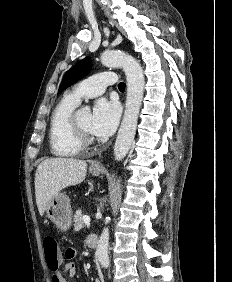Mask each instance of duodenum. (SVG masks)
Segmentation results:
<instances>
[{
  "label": "duodenum",
  "instance_id": "duodenum-1",
  "mask_svg": "<svg viewBox=\"0 0 232 282\" xmlns=\"http://www.w3.org/2000/svg\"><path fill=\"white\" fill-rule=\"evenodd\" d=\"M86 244L89 248H96L98 245V237L95 234H91L86 238Z\"/></svg>",
  "mask_w": 232,
  "mask_h": 282
}]
</instances>
